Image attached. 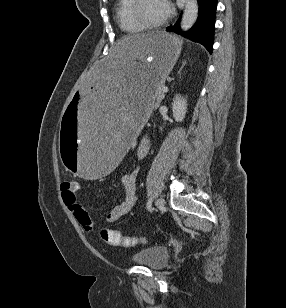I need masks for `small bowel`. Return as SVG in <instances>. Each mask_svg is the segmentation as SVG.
Listing matches in <instances>:
<instances>
[{
	"label": "small bowel",
	"instance_id": "obj_1",
	"mask_svg": "<svg viewBox=\"0 0 286 308\" xmlns=\"http://www.w3.org/2000/svg\"><path fill=\"white\" fill-rule=\"evenodd\" d=\"M149 148V140L146 138L141 139L137 147V157L140 159L145 158L149 152ZM137 177V170H133L122 176L120 184L124 189V199L108 213L106 218L107 222L114 223L132 210L136 202ZM63 200L69 206L70 211L82 228L92 233L95 229L94 221L90 218L84 206L78 202L77 194L75 196H67L63 193Z\"/></svg>",
	"mask_w": 286,
	"mask_h": 308
}]
</instances>
